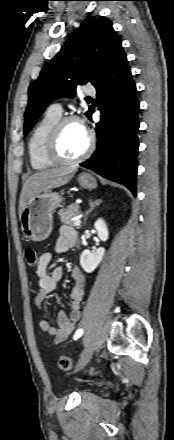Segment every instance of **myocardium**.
I'll list each match as a JSON object with an SVG mask.
<instances>
[{
  "label": "myocardium",
  "mask_w": 174,
  "mask_h": 440,
  "mask_svg": "<svg viewBox=\"0 0 174 440\" xmlns=\"http://www.w3.org/2000/svg\"><path fill=\"white\" fill-rule=\"evenodd\" d=\"M71 122H77V123L81 124L80 119L77 118L76 116H66V117L60 118L56 122V124L53 126V128L51 129V131L49 133L47 145H46V154H47V157L55 164H58V165L77 164V163L83 161L84 159H86L92 153V150L94 148V136H93L92 132H90L89 130L84 128V130L86 131V134L88 136V143H87L86 149L79 156H77L76 158H73V159H67L62 156V154L60 153V150H59L60 136H61V133H62L64 126L68 123H71Z\"/></svg>",
  "instance_id": "obj_1"
}]
</instances>
